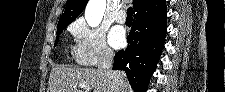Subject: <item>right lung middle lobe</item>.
I'll return each instance as SVG.
<instances>
[{
    "instance_id": "dd1d6c3e",
    "label": "right lung middle lobe",
    "mask_w": 225,
    "mask_h": 92,
    "mask_svg": "<svg viewBox=\"0 0 225 92\" xmlns=\"http://www.w3.org/2000/svg\"><path fill=\"white\" fill-rule=\"evenodd\" d=\"M69 24H70V23H60V24H58V26H57V35H60L61 32H62ZM58 40H59V36H56V42H55V45H54V46L57 45Z\"/></svg>"
}]
</instances>
